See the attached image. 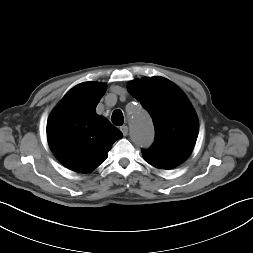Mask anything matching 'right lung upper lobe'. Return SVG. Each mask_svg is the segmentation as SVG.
Listing matches in <instances>:
<instances>
[{
	"mask_svg": "<svg viewBox=\"0 0 253 253\" xmlns=\"http://www.w3.org/2000/svg\"><path fill=\"white\" fill-rule=\"evenodd\" d=\"M105 90L106 85L99 82L78 84L49 116V146L57 159L73 171L94 170L105 161L112 144L123 137L106 118L96 114Z\"/></svg>",
	"mask_w": 253,
	"mask_h": 253,
	"instance_id": "right-lung-upper-lobe-1",
	"label": "right lung upper lobe"
}]
</instances>
